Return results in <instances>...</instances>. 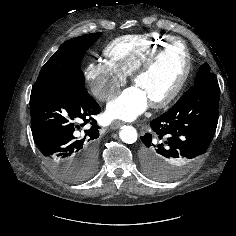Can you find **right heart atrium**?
Instances as JSON below:
<instances>
[{
  "label": "right heart atrium",
  "instance_id": "d8ad5b80",
  "mask_svg": "<svg viewBox=\"0 0 236 236\" xmlns=\"http://www.w3.org/2000/svg\"><path fill=\"white\" fill-rule=\"evenodd\" d=\"M85 74L93 95L101 102L112 98L126 81V76L106 60L90 62Z\"/></svg>",
  "mask_w": 236,
  "mask_h": 236
}]
</instances>
